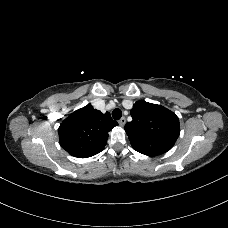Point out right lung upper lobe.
Wrapping results in <instances>:
<instances>
[{
	"instance_id": "right-lung-upper-lobe-1",
	"label": "right lung upper lobe",
	"mask_w": 228,
	"mask_h": 228,
	"mask_svg": "<svg viewBox=\"0 0 228 228\" xmlns=\"http://www.w3.org/2000/svg\"><path fill=\"white\" fill-rule=\"evenodd\" d=\"M117 125L109 112L103 114L88 104L73 112L60 124V145L74 157H91L104 149L108 132Z\"/></svg>"
}]
</instances>
